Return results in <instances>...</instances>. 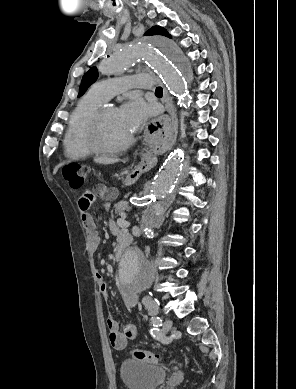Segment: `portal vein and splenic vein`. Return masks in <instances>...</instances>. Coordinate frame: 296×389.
Here are the masks:
<instances>
[{
  "mask_svg": "<svg viewBox=\"0 0 296 389\" xmlns=\"http://www.w3.org/2000/svg\"><path fill=\"white\" fill-rule=\"evenodd\" d=\"M118 223H119L120 225L124 226V227H127V226L130 225L129 222H127V221L124 220V217L121 218V219H119V220H118Z\"/></svg>",
  "mask_w": 296,
  "mask_h": 389,
  "instance_id": "18ae733b",
  "label": "portal vein and splenic vein"
}]
</instances>
